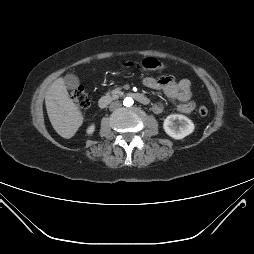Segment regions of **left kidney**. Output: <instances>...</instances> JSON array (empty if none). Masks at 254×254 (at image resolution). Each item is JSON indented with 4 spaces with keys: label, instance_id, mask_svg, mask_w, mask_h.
Here are the masks:
<instances>
[{
    "label": "left kidney",
    "instance_id": "obj_1",
    "mask_svg": "<svg viewBox=\"0 0 254 254\" xmlns=\"http://www.w3.org/2000/svg\"><path fill=\"white\" fill-rule=\"evenodd\" d=\"M163 128L170 137L174 139H183L191 134L195 127L193 122L186 116L171 114L164 120Z\"/></svg>",
    "mask_w": 254,
    "mask_h": 254
}]
</instances>
